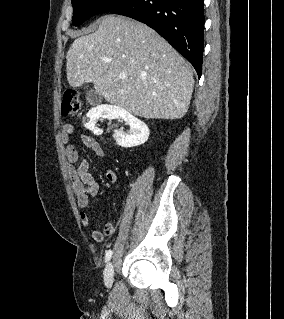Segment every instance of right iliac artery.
Segmentation results:
<instances>
[{"label":"right iliac artery","instance_id":"obj_1","mask_svg":"<svg viewBox=\"0 0 284 319\" xmlns=\"http://www.w3.org/2000/svg\"><path fill=\"white\" fill-rule=\"evenodd\" d=\"M112 257V250H107L105 254V260L109 261Z\"/></svg>","mask_w":284,"mask_h":319}]
</instances>
